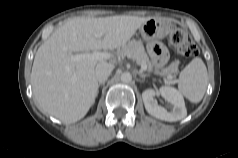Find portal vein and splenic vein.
Here are the masks:
<instances>
[{
    "instance_id": "1",
    "label": "portal vein and splenic vein",
    "mask_w": 238,
    "mask_h": 158,
    "mask_svg": "<svg viewBox=\"0 0 238 158\" xmlns=\"http://www.w3.org/2000/svg\"><path fill=\"white\" fill-rule=\"evenodd\" d=\"M102 33H97L96 37H101ZM70 58L72 61H80L84 59L90 60H106L110 58V54L106 52L94 51L93 53H80V54H71ZM147 69L146 65L141 66V70L145 71Z\"/></svg>"
}]
</instances>
